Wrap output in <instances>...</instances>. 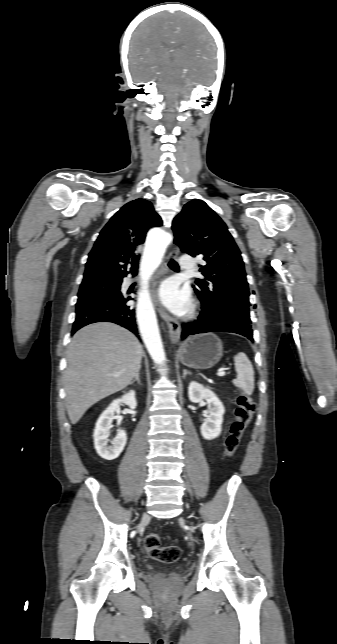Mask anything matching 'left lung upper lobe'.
Segmentation results:
<instances>
[{"mask_svg": "<svg viewBox=\"0 0 337 644\" xmlns=\"http://www.w3.org/2000/svg\"><path fill=\"white\" fill-rule=\"evenodd\" d=\"M183 252L202 255L204 279L193 286L205 311H219L251 327L249 289L241 253L226 224L202 200H191L172 225Z\"/></svg>", "mask_w": 337, "mask_h": 644, "instance_id": "5c2ea615", "label": "left lung upper lobe"}]
</instances>
